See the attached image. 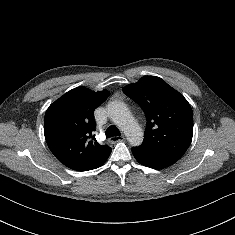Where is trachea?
Wrapping results in <instances>:
<instances>
[{"label":"trachea","instance_id":"obj_1","mask_svg":"<svg viewBox=\"0 0 235 235\" xmlns=\"http://www.w3.org/2000/svg\"><path fill=\"white\" fill-rule=\"evenodd\" d=\"M105 134H106V138H110L113 136H121L119 129L114 125L109 126Z\"/></svg>","mask_w":235,"mask_h":235}]
</instances>
